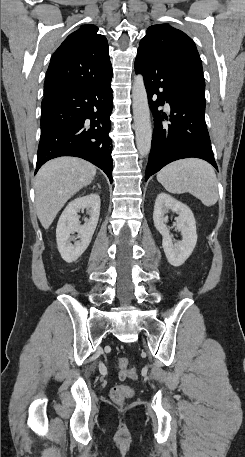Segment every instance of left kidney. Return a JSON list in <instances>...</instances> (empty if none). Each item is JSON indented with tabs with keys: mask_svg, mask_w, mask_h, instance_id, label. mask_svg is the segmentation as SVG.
<instances>
[{
	"mask_svg": "<svg viewBox=\"0 0 245 457\" xmlns=\"http://www.w3.org/2000/svg\"><path fill=\"white\" fill-rule=\"evenodd\" d=\"M169 210L179 214V216H176L177 222L174 226H176L177 231H181L182 241H177V243H173V235H170L172 226L167 229L165 224L168 220L166 212H169ZM153 220L154 226L163 237L162 247L168 263L173 267H180L190 257L197 243L196 220L191 208L187 204L180 202V200H176L170 194L160 192L155 200Z\"/></svg>",
	"mask_w": 245,
	"mask_h": 457,
	"instance_id": "5707ae66",
	"label": "left kidney"
}]
</instances>
